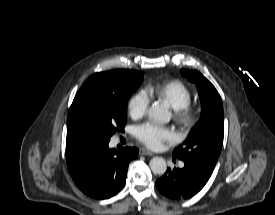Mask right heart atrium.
I'll return each instance as SVG.
<instances>
[{"instance_id":"d8ad5b80","label":"right heart atrium","mask_w":275,"mask_h":215,"mask_svg":"<svg viewBox=\"0 0 275 215\" xmlns=\"http://www.w3.org/2000/svg\"><path fill=\"white\" fill-rule=\"evenodd\" d=\"M148 107L149 97L144 90L134 93L127 105L129 115L134 119L143 117L147 113Z\"/></svg>"}]
</instances>
